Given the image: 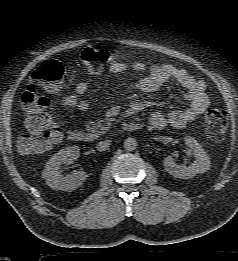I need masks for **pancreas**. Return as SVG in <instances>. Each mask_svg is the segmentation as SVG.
Returning <instances> with one entry per match:
<instances>
[{
	"mask_svg": "<svg viewBox=\"0 0 238 261\" xmlns=\"http://www.w3.org/2000/svg\"><path fill=\"white\" fill-rule=\"evenodd\" d=\"M112 119H106L101 123L100 120L90 121L89 124L86 126V131H89L94 136H99L104 134L112 125Z\"/></svg>",
	"mask_w": 238,
	"mask_h": 261,
	"instance_id": "cf45deb5",
	"label": "pancreas"
}]
</instances>
